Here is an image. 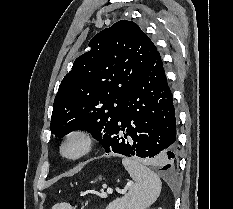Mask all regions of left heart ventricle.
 Masks as SVG:
<instances>
[{"mask_svg":"<svg viewBox=\"0 0 233 209\" xmlns=\"http://www.w3.org/2000/svg\"><path fill=\"white\" fill-rule=\"evenodd\" d=\"M76 149V144H72L71 146H70V150H75Z\"/></svg>","mask_w":233,"mask_h":209,"instance_id":"1","label":"left heart ventricle"}]
</instances>
